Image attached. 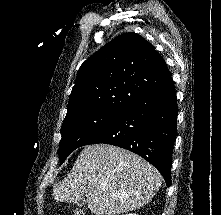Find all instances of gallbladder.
Returning <instances> with one entry per match:
<instances>
[{
    "label": "gallbladder",
    "mask_w": 221,
    "mask_h": 215,
    "mask_svg": "<svg viewBox=\"0 0 221 215\" xmlns=\"http://www.w3.org/2000/svg\"><path fill=\"white\" fill-rule=\"evenodd\" d=\"M86 199L84 198V197H82L80 200H78L77 202H76V204H77V206H82V205H84L85 204V201Z\"/></svg>",
    "instance_id": "bac80fb5"
}]
</instances>
